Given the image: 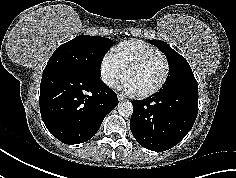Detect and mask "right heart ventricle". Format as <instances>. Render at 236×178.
<instances>
[{"mask_svg":"<svg viewBox=\"0 0 236 178\" xmlns=\"http://www.w3.org/2000/svg\"><path fill=\"white\" fill-rule=\"evenodd\" d=\"M111 53L120 66L125 69V67L134 60L153 54H160L161 52L141 40H128L119 43L113 48Z\"/></svg>","mask_w":236,"mask_h":178,"instance_id":"e07e8e85","label":"right heart ventricle"}]
</instances>
